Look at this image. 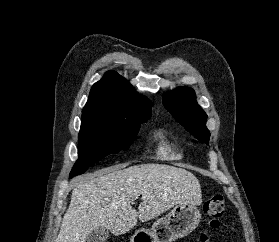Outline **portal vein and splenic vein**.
<instances>
[{
	"mask_svg": "<svg viewBox=\"0 0 279 242\" xmlns=\"http://www.w3.org/2000/svg\"><path fill=\"white\" fill-rule=\"evenodd\" d=\"M137 198H138V197H136L135 199H137ZM142 198H143V199H145V198H146V196H143Z\"/></svg>",
	"mask_w": 279,
	"mask_h": 242,
	"instance_id": "portal-vein-and-splenic-vein-1",
	"label": "portal vein and splenic vein"
}]
</instances>
